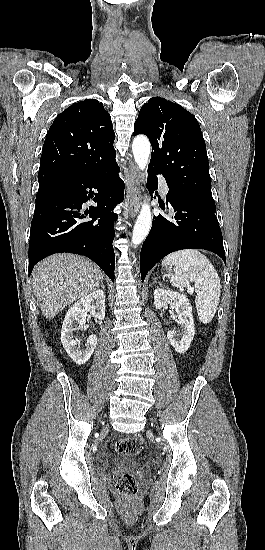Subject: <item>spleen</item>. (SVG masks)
<instances>
[{"label": "spleen", "instance_id": "3e777b00", "mask_svg": "<svg viewBox=\"0 0 265 550\" xmlns=\"http://www.w3.org/2000/svg\"><path fill=\"white\" fill-rule=\"evenodd\" d=\"M175 265L169 279L173 286L184 288L189 282L194 283L195 303L198 317L203 323H210L215 315L220 300V278L208 258L195 249H185L167 255L162 266Z\"/></svg>", "mask_w": 265, "mask_h": 550}]
</instances>
